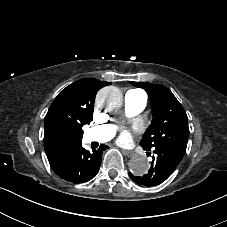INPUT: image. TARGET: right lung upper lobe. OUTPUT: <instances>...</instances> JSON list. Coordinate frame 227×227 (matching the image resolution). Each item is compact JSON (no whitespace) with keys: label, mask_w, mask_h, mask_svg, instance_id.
I'll return each mask as SVG.
<instances>
[{"label":"right lung upper lobe","mask_w":227,"mask_h":227,"mask_svg":"<svg viewBox=\"0 0 227 227\" xmlns=\"http://www.w3.org/2000/svg\"><path fill=\"white\" fill-rule=\"evenodd\" d=\"M111 82L99 81L95 78L78 80L63 89L51 104L44 120V147L49 163H54L68 148L81 143L82 137L75 132L62 134L51 133L48 123L56 110L64 103L76 101L88 107H94L96 93Z\"/></svg>","instance_id":"obj_1"}]
</instances>
